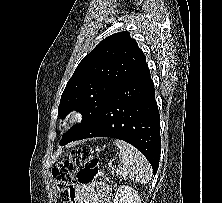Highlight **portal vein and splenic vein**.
Instances as JSON below:
<instances>
[{"label":"portal vein and splenic vein","instance_id":"obj_1","mask_svg":"<svg viewBox=\"0 0 222 203\" xmlns=\"http://www.w3.org/2000/svg\"><path fill=\"white\" fill-rule=\"evenodd\" d=\"M111 165H112V163L110 162V163H109V166H111Z\"/></svg>","mask_w":222,"mask_h":203}]
</instances>
